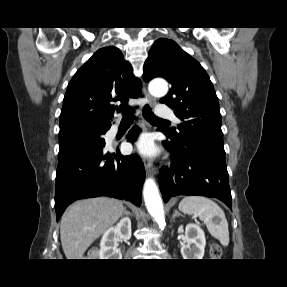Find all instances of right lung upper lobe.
I'll return each mask as SVG.
<instances>
[{
    "label": "right lung upper lobe",
    "instance_id": "cb5924a9",
    "mask_svg": "<svg viewBox=\"0 0 287 287\" xmlns=\"http://www.w3.org/2000/svg\"><path fill=\"white\" fill-rule=\"evenodd\" d=\"M142 83L129 62L114 46L99 49L75 73L68 84L59 125L87 122L109 126L118 109L128 108L129 98L141 95Z\"/></svg>",
    "mask_w": 287,
    "mask_h": 287
}]
</instances>
